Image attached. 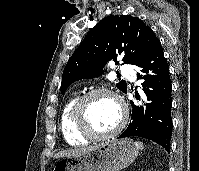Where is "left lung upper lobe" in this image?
Returning a JSON list of instances; mask_svg holds the SVG:
<instances>
[{
	"instance_id": "1",
	"label": "left lung upper lobe",
	"mask_w": 199,
	"mask_h": 171,
	"mask_svg": "<svg viewBox=\"0 0 199 171\" xmlns=\"http://www.w3.org/2000/svg\"><path fill=\"white\" fill-rule=\"evenodd\" d=\"M159 39L138 17L108 16L93 27L75 50L64 68L61 93L75 81L102 75L109 61L116 64L123 55L126 64L138 65ZM117 88L126 92L127 84L120 81Z\"/></svg>"
}]
</instances>
